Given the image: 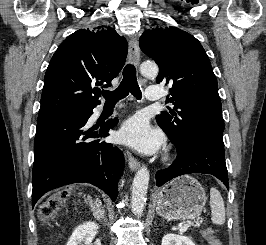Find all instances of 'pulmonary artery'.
Here are the masks:
<instances>
[{"instance_id":"1","label":"pulmonary artery","mask_w":266,"mask_h":245,"mask_svg":"<svg viewBox=\"0 0 266 245\" xmlns=\"http://www.w3.org/2000/svg\"><path fill=\"white\" fill-rule=\"evenodd\" d=\"M146 90L147 101H161V86H147Z\"/></svg>"}]
</instances>
